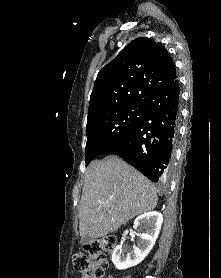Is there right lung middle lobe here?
Wrapping results in <instances>:
<instances>
[{
	"label": "right lung middle lobe",
	"mask_w": 221,
	"mask_h": 278,
	"mask_svg": "<svg viewBox=\"0 0 221 278\" xmlns=\"http://www.w3.org/2000/svg\"><path fill=\"white\" fill-rule=\"evenodd\" d=\"M146 113L144 101L134 102L87 121L86 166L109 144L128 134Z\"/></svg>",
	"instance_id": "obj_1"
}]
</instances>
